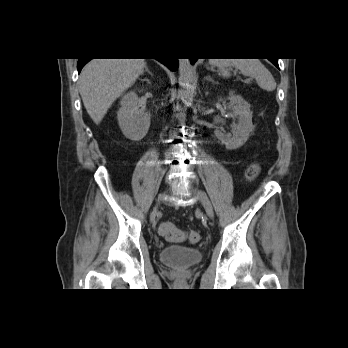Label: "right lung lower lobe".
<instances>
[{
	"instance_id": "1",
	"label": "right lung lower lobe",
	"mask_w": 348,
	"mask_h": 348,
	"mask_svg": "<svg viewBox=\"0 0 348 348\" xmlns=\"http://www.w3.org/2000/svg\"><path fill=\"white\" fill-rule=\"evenodd\" d=\"M157 60L160 61L161 63H163L164 65H166L172 71H175L178 67L177 59L164 58V59H157ZM89 61H90V59H79L78 64H77L78 73H80L83 66Z\"/></svg>"
}]
</instances>
